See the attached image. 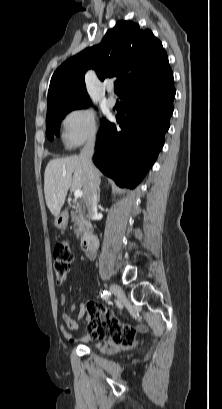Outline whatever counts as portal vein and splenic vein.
Returning a JSON list of instances; mask_svg holds the SVG:
<instances>
[{"instance_id": "18ae733b", "label": "portal vein and splenic vein", "mask_w": 222, "mask_h": 409, "mask_svg": "<svg viewBox=\"0 0 222 409\" xmlns=\"http://www.w3.org/2000/svg\"><path fill=\"white\" fill-rule=\"evenodd\" d=\"M83 195V192L81 190H75L74 191V197L75 198H81Z\"/></svg>"}]
</instances>
